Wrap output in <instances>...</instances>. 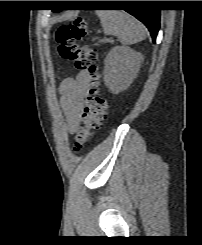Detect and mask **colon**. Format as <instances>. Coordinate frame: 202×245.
Here are the masks:
<instances>
[{
  "mask_svg": "<svg viewBox=\"0 0 202 245\" xmlns=\"http://www.w3.org/2000/svg\"><path fill=\"white\" fill-rule=\"evenodd\" d=\"M87 21L76 17L62 25L56 33L60 55L77 69L86 70L92 78V88L75 131L73 151L81 152L95 135L107 116L108 103L100 91V74L97 52L92 46H81L79 41L87 33Z\"/></svg>",
  "mask_w": 202,
  "mask_h": 245,
  "instance_id": "obj_1",
  "label": "colon"
}]
</instances>
